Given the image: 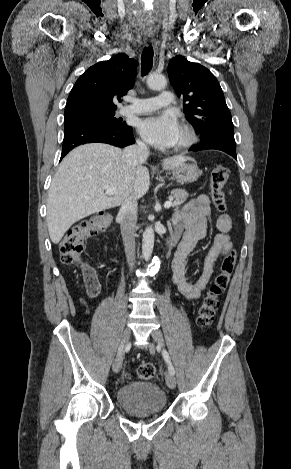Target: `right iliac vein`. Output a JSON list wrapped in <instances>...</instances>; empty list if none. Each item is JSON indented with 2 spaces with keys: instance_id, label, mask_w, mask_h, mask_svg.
<instances>
[{
  "instance_id": "right-iliac-vein-1",
  "label": "right iliac vein",
  "mask_w": 291,
  "mask_h": 469,
  "mask_svg": "<svg viewBox=\"0 0 291 469\" xmlns=\"http://www.w3.org/2000/svg\"><path fill=\"white\" fill-rule=\"evenodd\" d=\"M129 338H130V329L126 328L123 332V335H122L121 350L118 353V355L116 356V358L114 360V363H113V367H112V369L115 373H118L120 371L121 367H122L123 352H124L126 344L129 341Z\"/></svg>"
}]
</instances>
